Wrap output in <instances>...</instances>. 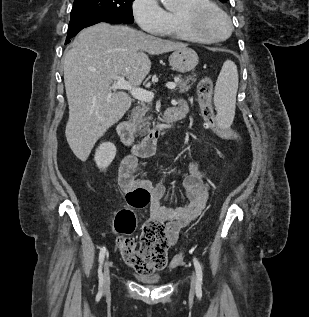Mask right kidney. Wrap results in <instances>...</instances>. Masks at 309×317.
Here are the masks:
<instances>
[{
  "label": "right kidney",
  "instance_id": "right-kidney-1",
  "mask_svg": "<svg viewBox=\"0 0 309 317\" xmlns=\"http://www.w3.org/2000/svg\"><path fill=\"white\" fill-rule=\"evenodd\" d=\"M116 155V147L113 143L103 142L97 148L94 160L100 170H105Z\"/></svg>",
  "mask_w": 309,
  "mask_h": 317
}]
</instances>
